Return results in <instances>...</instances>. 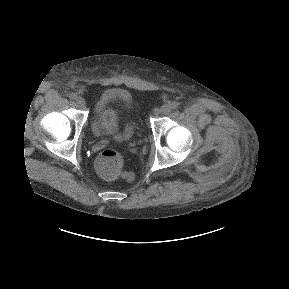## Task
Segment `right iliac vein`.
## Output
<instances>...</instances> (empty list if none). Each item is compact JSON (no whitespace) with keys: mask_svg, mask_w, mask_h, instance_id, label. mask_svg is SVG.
<instances>
[{"mask_svg":"<svg viewBox=\"0 0 289 289\" xmlns=\"http://www.w3.org/2000/svg\"><path fill=\"white\" fill-rule=\"evenodd\" d=\"M75 101L79 107H84L86 105L85 100L80 96L76 97Z\"/></svg>","mask_w":289,"mask_h":289,"instance_id":"1","label":"right iliac vein"}]
</instances>
